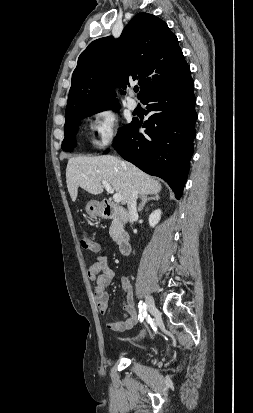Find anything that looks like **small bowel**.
I'll use <instances>...</instances> for the list:
<instances>
[{
  "label": "small bowel",
  "mask_w": 253,
  "mask_h": 413,
  "mask_svg": "<svg viewBox=\"0 0 253 413\" xmlns=\"http://www.w3.org/2000/svg\"><path fill=\"white\" fill-rule=\"evenodd\" d=\"M114 270L109 265L105 256H99L88 269V277L94 284V299L98 311L105 314L109 305V296L106 291L108 285L114 277ZM122 288L124 290V304L125 311L124 319L116 322H106L105 326L108 330L114 332H124L132 329L137 323V311L133 300L132 283L128 277L121 279Z\"/></svg>",
  "instance_id": "obj_1"
}]
</instances>
